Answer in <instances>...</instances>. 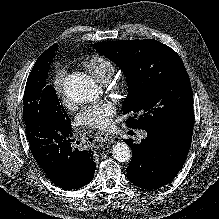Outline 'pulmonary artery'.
Instances as JSON below:
<instances>
[{"instance_id": "e3ab8cb5", "label": "pulmonary artery", "mask_w": 219, "mask_h": 219, "mask_svg": "<svg viewBox=\"0 0 219 219\" xmlns=\"http://www.w3.org/2000/svg\"><path fill=\"white\" fill-rule=\"evenodd\" d=\"M106 82H107V81L105 80V81H103L102 83H106ZM139 137H140V138H144V137H145V133H141Z\"/></svg>"}]
</instances>
